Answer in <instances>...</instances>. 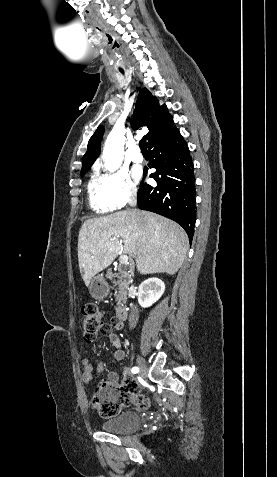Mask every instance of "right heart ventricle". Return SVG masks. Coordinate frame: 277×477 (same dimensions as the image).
Here are the masks:
<instances>
[{
    "instance_id": "obj_1",
    "label": "right heart ventricle",
    "mask_w": 277,
    "mask_h": 477,
    "mask_svg": "<svg viewBox=\"0 0 277 477\" xmlns=\"http://www.w3.org/2000/svg\"><path fill=\"white\" fill-rule=\"evenodd\" d=\"M89 205L97 213H106L110 210L102 190V184L99 177L92 175L87 185Z\"/></svg>"
}]
</instances>
